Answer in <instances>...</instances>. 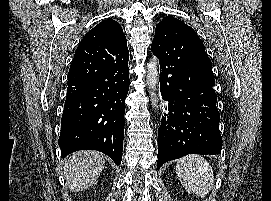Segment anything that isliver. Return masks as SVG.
Returning a JSON list of instances; mask_svg holds the SVG:
<instances>
[{"label":"liver","mask_w":271,"mask_h":201,"mask_svg":"<svg viewBox=\"0 0 271 201\" xmlns=\"http://www.w3.org/2000/svg\"><path fill=\"white\" fill-rule=\"evenodd\" d=\"M105 166V156L95 151H79L64 163V176L71 192H80L96 182Z\"/></svg>","instance_id":"liver-1"}]
</instances>
